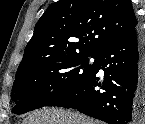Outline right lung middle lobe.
I'll use <instances>...</instances> for the list:
<instances>
[{
	"label": "right lung middle lobe",
	"instance_id": "1",
	"mask_svg": "<svg viewBox=\"0 0 145 124\" xmlns=\"http://www.w3.org/2000/svg\"><path fill=\"white\" fill-rule=\"evenodd\" d=\"M97 55H71L46 60L15 78L11 98L12 112L22 114L41 108L71 89L92 72L88 58Z\"/></svg>",
	"mask_w": 145,
	"mask_h": 124
}]
</instances>
